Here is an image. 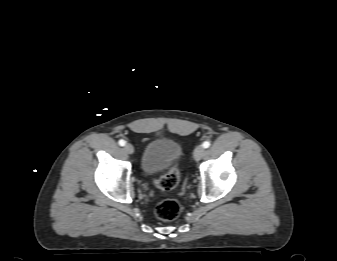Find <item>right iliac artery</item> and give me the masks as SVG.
Masks as SVG:
<instances>
[{
    "mask_svg": "<svg viewBox=\"0 0 337 261\" xmlns=\"http://www.w3.org/2000/svg\"><path fill=\"white\" fill-rule=\"evenodd\" d=\"M125 143H126V142H125L123 139L119 140V145H120V146H124Z\"/></svg>",
    "mask_w": 337,
    "mask_h": 261,
    "instance_id": "obj_1",
    "label": "right iliac artery"
}]
</instances>
